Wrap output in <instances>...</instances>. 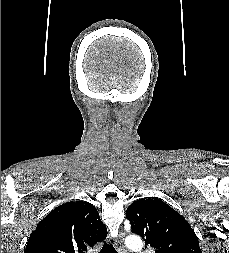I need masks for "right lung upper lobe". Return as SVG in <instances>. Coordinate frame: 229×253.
I'll return each instance as SVG.
<instances>
[{"label": "right lung upper lobe", "instance_id": "obj_1", "mask_svg": "<svg viewBox=\"0 0 229 253\" xmlns=\"http://www.w3.org/2000/svg\"><path fill=\"white\" fill-rule=\"evenodd\" d=\"M106 234L95 206L83 201L67 202L39 222L24 253H87Z\"/></svg>", "mask_w": 229, "mask_h": 253}]
</instances>
